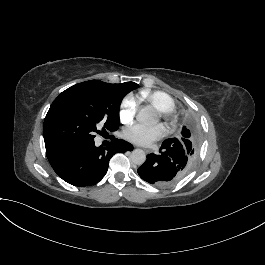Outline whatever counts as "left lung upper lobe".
<instances>
[{"label": "left lung upper lobe", "mask_w": 265, "mask_h": 265, "mask_svg": "<svg viewBox=\"0 0 265 265\" xmlns=\"http://www.w3.org/2000/svg\"><path fill=\"white\" fill-rule=\"evenodd\" d=\"M181 143L184 153L187 157V172L193 167L199 153L201 144V134L197 125L190 121L187 127L184 126L181 135L178 138H173Z\"/></svg>", "instance_id": "1"}]
</instances>
